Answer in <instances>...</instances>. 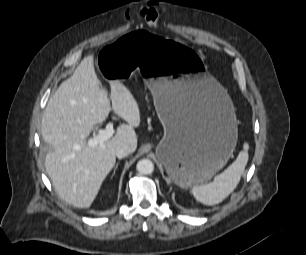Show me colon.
Here are the masks:
<instances>
[{"mask_svg": "<svg viewBox=\"0 0 306 255\" xmlns=\"http://www.w3.org/2000/svg\"><path fill=\"white\" fill-rule=\"evenodd\" d=\"M160 9L157 7H146L141 11L142 17L151 26H156L160 18Z\"/></svg>", "mask_w": 306, "mask_h": 255, "instance_id": "colon-1", "label": "colon"}]
</instances>
